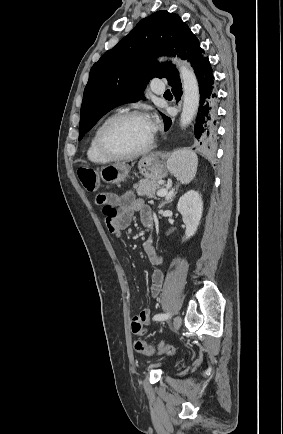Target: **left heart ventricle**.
I'll return each instance as SVG.
<instances>
[{"label": "left heart ventricle", "instance_id": "b2bd125f", "mask_svg": "<svg viewBox=\"0 0 283 434\" xmlns=\"http://www.w3.org/2000/svg\"><path fill=\"white\" fill-rule=\"evenodd\" d=\"M152 136L148 119L133 118L112 126L106 135L110 148L120 153H129L146 146Z\"/></svg>", "mask_w": 283, "mask_h": 434}]
</instances>
